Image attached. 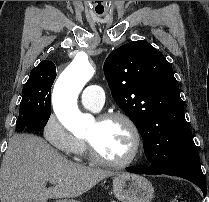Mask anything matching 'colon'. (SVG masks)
Instances as JSON below:
<instances>
[{
	"label": "colon",
	"instance_id": "colon-1",
	"mask_svg": "<svg viewBox=\"0 0 209 202\" xmlns=\"http://www.w3.org/2000/svg\"><path fill=\"white\" fill-rule=\"evenodd\" d=\"M169 202H189L187 199L182 198V197H176L170 200Z\"/></svg>",
	"mask_w": 209,
	"mask_h": 202
}]
</instances>
